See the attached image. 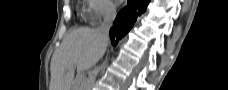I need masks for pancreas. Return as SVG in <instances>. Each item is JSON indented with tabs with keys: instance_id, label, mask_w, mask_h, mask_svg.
Instances as JSON below:
<instances>
[{
	"instance_id": "obj_1",
	"label": "pancreas",
	"mask_w": 228,
	"mask_h": 90,
	"mask_svg": "<svg viewBox=\"0 0 228 90\" xmlns=\"http://www.w3.org/2000/svg\"><path fill=\"white\" fill-rule=\"evenodd\" d=\"M81 85H82V79L77 78V79L75 80V88H76L77 90H81Z\"/></svg>"
}]
</instances>
